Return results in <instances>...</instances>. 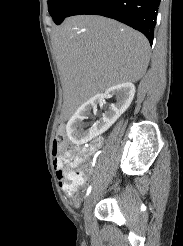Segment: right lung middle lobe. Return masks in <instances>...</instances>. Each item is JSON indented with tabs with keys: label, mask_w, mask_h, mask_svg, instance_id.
<instances>
[{
	"label": "right lung middle lobe",
	"mask_w": 183,
	"mask_h": 246,
	"mask_svg": "<svg viewBox=\"0 0 183 246\" xmlns=\"http://www.w3.org/2000/svg\"><path fill=\"white\" fill-rule=\"evenodd\" d=\"M79 0H48V10L54 22L58 25Z\"/></svg>",
	"instance_id": "1"
}]
</instances>
